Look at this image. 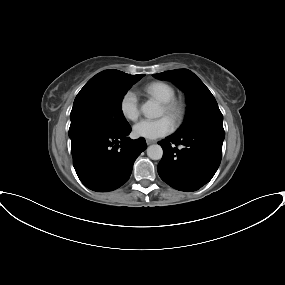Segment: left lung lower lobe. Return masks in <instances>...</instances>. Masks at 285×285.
<instances>
[{
    "mask_svg": "<svg viewBox=\"0 0 285 285\" xmlns=\"http://www.w3.org/2000/svg\"><path fill=\"white\" fill-rule=\"evenodd\" d=\"M224 137V129L205 126L158 142L163 148L157 167L159 176L177 190H198L212 179L220 165ZM178 145L183 148L178 149Z\"/></svg>",
    "mask_w": 285,
    "mask_h": 285,
    "instance_id": "1",
    "label": "left lung lower lobe"
}]
</instances>
